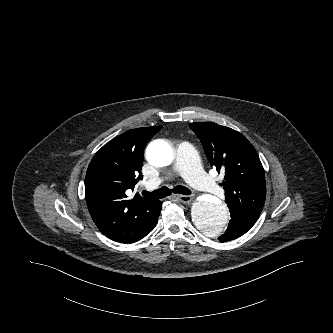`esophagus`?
I'll use <instances>...</instances> for the list:
<instances>
[{"mask_svg": "<svg viewBox=\"0 0 333 333\" xmlns=\"http://www.w3.org/2000/svg\"><path fill=\"white\" fill-rule=\"evenodd\" d=\"M177 198L182 203H190L193 199L191 195H182V194H179Z\"/></svg>", "mask_w": 333, "mask_h": 333, "instance_id": "34e87169", "label": "esophagus"}]
</instances>
